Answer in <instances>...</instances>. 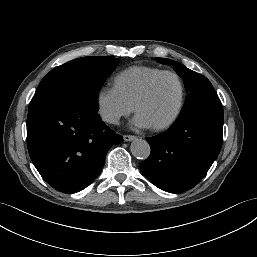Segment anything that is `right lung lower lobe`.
<instances>
[{
  "label": "right lung lower lobe",
  "instance_id": "obj_1",
  "mask_svg": "<svg viewBox=\"0 0 257 257\" xmlns=\"http://www.w3.org/2000/svg\"><path fill=\"white\" fill-rule=\"evenodd\" d=\"M97 111L67 98L29 105V155L54 189L74 193L86 188L101 172L109 148L123 141Z\"/></svg>",
  "mask_w": 257,
  "mask_h": 257
}]
</instances>
